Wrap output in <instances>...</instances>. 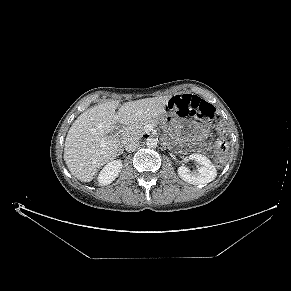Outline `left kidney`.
Returning <instances> with one entry per match:
<instances>
[{
    "instance_id": "left-kidney-1",
    "label": "left kidney",
    "mask_w": 291,
    "mask_h": 291,
    "mask_svg": "<svg viewBox=\"0 0 291 291\" xmlns=\"http://www.w3.org/2000/svg\"><path fill=\"white\" fill-rule=\"evenodd\" d=\"M189 159L198 162L200 167L195 171H191L186 166H180L178 175L182 180L193 185H205L216 178L217 170L206 156L191 154Z\"/></svg>"
}]
</instances>
